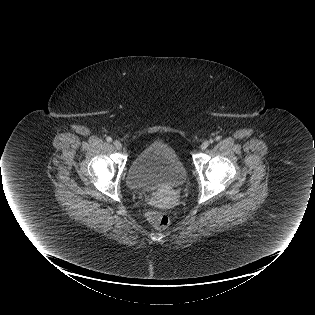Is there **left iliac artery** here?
Segmentation results:
<instances>
[{
  "mask_svg": "<svg viewBox=\"0 0 315 315\" xmlns=\"http://www.w3.org/2000/svg\"><path fill=\"white\" fill-rule=\"evenodd\" d=\"M215 140H220V136H217L216 138H215ZM213 141L211 140V143H212Z\"/></svg>",
  "mask_w": 315,
  "mask_h": 315,
  "instance_id": "44dca946",
  "label": "left iliac artery"
}]
</instances>
